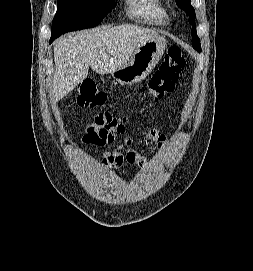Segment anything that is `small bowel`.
Listing matches in <instances>:
<instances>
[{"label":"small bowel","instance_id":"obj_1","mask_svg":"<svg viewBox=\"0 0 253 271\" xmlns=\"http://www.w3.org/2000/svg\"><path fill=\"white\" fill-rule=\"evenodd\" d=\"M128 118L117 117L109 113L98 114L93 117L92 122L88 125L82 141L87 144L103 146L111 143L116 135L123 137V143L129 147L133 138L127 127ZM145 136L147 140L154 142L157 146L165 150L169 146L168 137L159 129H149ZM124 162L143 166L146 157L135 149L127 148L126 150H113L104 153L101 165L106 168L121 166Z\"/></svg>","mask_w":253,"mask_h":271}]
</instances>
